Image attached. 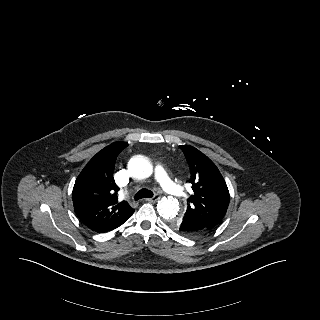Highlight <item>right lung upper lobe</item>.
Segmentation results:
<instances>
[{
  "mask_svg": "<svg viewBox=\"0 0 320 320\" xmlns=\"http://www.w3.org/2000/svg\"><path fill=\"white\" fill-rule=\"evenodd\" d=\"M128 146L114 142L99 151L76 179L72 198L80 220L95 232H105L126 222L134 209L119 202V187L113 177L114 163L119 153Z\"/></svg>",
  "mask_w": 320,
  "mask_h": 320,
  "instance_id": "cb5924a9",
  "label": "right lung upper lobe"
}]
</instances>
